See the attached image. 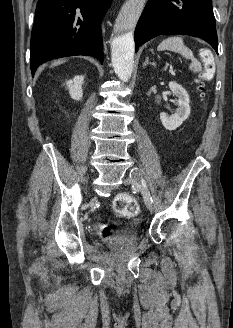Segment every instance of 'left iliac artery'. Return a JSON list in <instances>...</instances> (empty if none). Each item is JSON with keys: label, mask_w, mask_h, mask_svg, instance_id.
<instances>
[{"label": "left iliac artery", "mask_w": 233, "mask_h": 328, "mask_svg": "<svg viewBox=\"0 0 233 328\" xmlns=\"http://www.w3.org/2000/svg\"><path fill=\"white\" fill-rule=\"evenodd\" d=\"M135 187L142 192V194L144 195L145 201L152 204L153 200H152V197L150 195V192H149V190L147 188V185H146L145 180L142 179L141 180V183H139Z\"/></svg>", "instance_id": "1"}]
</instances>
